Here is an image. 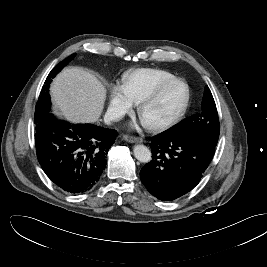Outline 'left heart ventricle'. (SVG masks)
<instances>
[{"mask_svg": "<svg viewBox=\"0 0 267 267\" xmlns=\"http://www.w3.org/2000/svg\"><path fill=\"white\" fill-rule=\"evenodd\" d=\"M185 96L186 89L183 85L170 88L156 102L144 110L143 119L146 122H156L171 117L181 107Z\"/></svg>", "mask_w": 267, "mask_h": 267, "instance_id": "1", "label": "left heart ventricle"}]
</instances>
